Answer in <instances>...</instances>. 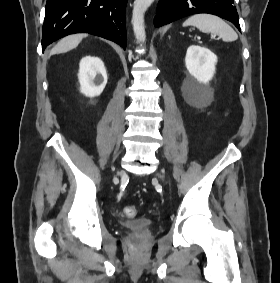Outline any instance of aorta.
Here are the masks:
<instances>
[{"label": "aorta", "instance_id": "aorta-1", "mask_svg": "<svg viewBox=\"0 0 280 283\" xmlns=\"http://www.w3.org/2000/svg\"><path fill=\"white\" fill-rule=\"evenodd\" d=\"M154 0H135L132 11V25L138 42H145L144 14Z\"/></svg>", "mask_w": 280, "mask_h": 283}]
</instances>
